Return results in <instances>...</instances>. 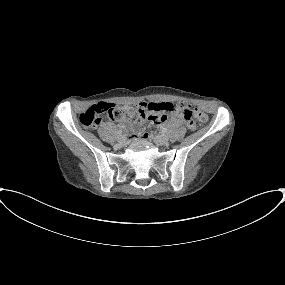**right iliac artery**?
I'll return each instance as SVG.
<instances>
[{
    "instance_id": "right-iliac-artery-1",
    "label": "right iliac artery",
    "mask_w": 285,
    "mask_h": 285,
    "mask_svg": "<svg viewBox=\"0 0 285 285\" xmlns=\"http://www.w3.org/2000/svg\"><path fill=\"white\" fill-rule=\"evenodd\" d=\"M117 133H118V135H120V136H121V135L123 134V131H122V130H118V132H117Z\"/></svg>"
}]
</instances>
